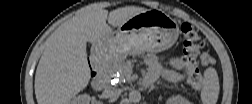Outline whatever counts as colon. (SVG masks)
I'll return each instance as SVG.
<instances>
[{"label": "colon", "mask_w": 252, "mask_h": 104, "mask_svg": "<svg viewBox=\"0 0 252 104\" xmlns=\"http://www.w3.org/2000/svg\"><path fill=\"white\" fill-rule=\"evenodd\" d=\"M183 40V58L182 62L187 70V81L196 90L201 89L203 85V76L197 68L199 63L211 64L212 59L208 55H200L204 45L202 37L188 23L181 28ZM95 73L92 72V76Z\"/></svg>", "instance_id": "1"}]
</instances>
